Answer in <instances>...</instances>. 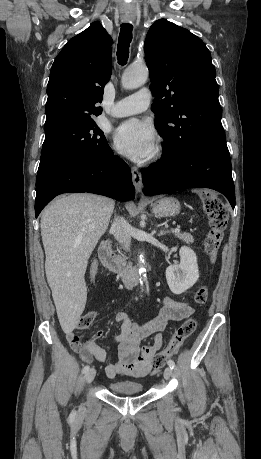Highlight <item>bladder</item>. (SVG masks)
<instances>
[{"label":"bladder","mask_w":261,"mask_h":459,"mask_svg":"<svg viewBox=\"0 0 261 459\" xmlns=\"http://www.w3.org/2000/svg\"><path fill=\"white\" fill-rule=\"evenodd\" d=\"M109 388L113 393L125 395L139 394L144 390L140 382L130 380L111 382Z\"/></svg>","instance_id":"bladder-1"}]
</instances>
